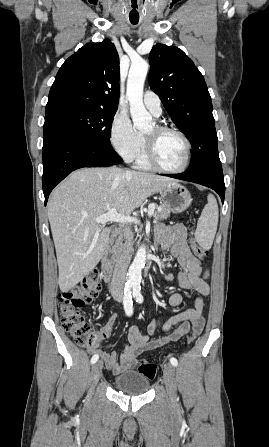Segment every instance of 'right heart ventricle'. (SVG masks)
I'll return each mask as SVG.
<instances>
[{"label": "right heart ventricle", "instance_id": "e07e8e85", "mask_svg": "<svg viewBox=\"0 0 269 447\" xmlns=\"http://www.w3.org/2000/svg\"><path fill=\"white\" fill-rule=\"evenodd\" d=\"M134 160L135 164L140 168L147 169L151 167L146 160V152H145V144L143 136H140L139 149Z\"/></svg>", "mask_w": 269, "mask_h": 447}]
</instances>
